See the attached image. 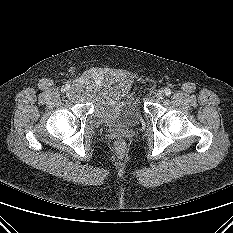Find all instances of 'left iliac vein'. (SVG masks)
Segmentation results:
<instances>
[{
  "label": "left iliac vein",
  "instance_id": "obj_1",
  "mask_svg": "<svg viewBox=\"0 0 233 233\" xmlns=\"http://www.w3.org/2000/svg\"><path fill=\"white\" fill-rule=\"evenodd\" d=\"M156 97H157L158 99H162V98L164 97V91H163V90L157 91Z\"/></svg>",
  "mask_w": 233,
  "mask_h": 233
}]
</instances>
